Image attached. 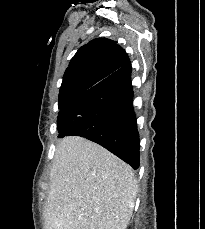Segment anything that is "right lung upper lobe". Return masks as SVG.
<instances>
[{"mask_svg": "<svg viewBox=\"0 0 205 229\" xmlns=\"http://www.w3.org/2000/svg\"><path fill=\"white\" fill-rule=\"evenodd\" d=\"M129 60L114 41L97 38L82 46L63 76L59 102L73 100L114 73Z\"/></svg>", "mask_w": 205, "mask_h": 229, "instance_id": "1", "label": "right lung upper lobe"}]
</instances>
